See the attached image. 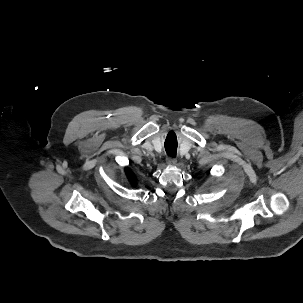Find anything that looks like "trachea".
<instances>
[{"instance_id":"1","label":"trachea","mask_w":303,"mask_h":303,"mask_svg":"<svg viewBox=\"0 0 303 303\" xmlns=\"http://www.w3.org/2000/svg\"><path fill=\"white\" fill-rule=\"evenodd\" d=\"M165 150L170 157H175L177 152V141L167 137L165 141Z\"/></svg>"}]
</instances>
